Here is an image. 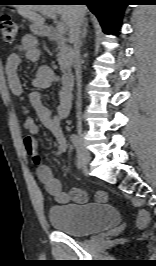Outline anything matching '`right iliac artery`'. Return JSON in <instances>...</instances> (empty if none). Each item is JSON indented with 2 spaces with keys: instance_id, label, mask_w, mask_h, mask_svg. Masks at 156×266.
Masks as SVG:
<instances>
[{
  "instance_id": "1",
  "label": "right iliac artery",
  "mask_w": 156,
  "mask_h": 266,
  "mask_svg": "<svg viewBox=\"0 0 156 266\" xmlns=\"http://www.w3.org/2000/svg\"><path fill=\"white\" fill-rule=\"evenodd\" d=\"M71 142L73 143L75 149H76V153H77V167L78 169H81L83 166V162L81 159V152H80V143H79V138L77 135L72 134L70 136Z\"/></svg>"
}]
</instances>
